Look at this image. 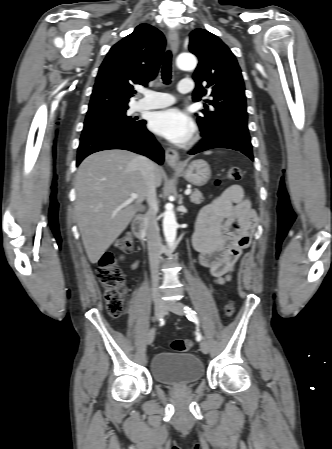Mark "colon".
<instances>
[{"mask_svg": "<svg viewBox=\"0 0 332 449\" xmlns=\"http://www.w3.org/2000/svg\"><path fill=\"white\" fill-rule=\"evenodd\" d=\"M241 178V170L233 167L227 170L223 179L216 181V185H221L224 179L239 181ZM132 247L133 239L130 235L122 236L117 243L118 250L123 252L130 251ZM97 274L105 291L108 313L113 318H120L123 314L125 277L118 267L116 257L113 253H106L101 257ZM234 311V304L228 302L224 308V315L230 318L233 316ZM171 347L175 352L182 353L192 347V342L189 339H176L171 343Z\"/></svg>", "mask_w": 332, "mask_h": 449, "instance_id": "1", "label": "colon"}]
</instances>
